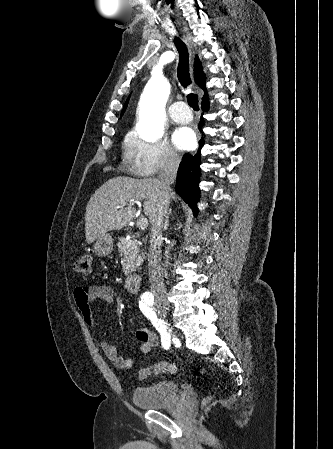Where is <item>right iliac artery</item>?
<instances>
[{"mask_svg":"<svg viewBox=\"0 0 333 449\" xmlns=\"http://www.w3.org/2000/svg\"><path fill=\"white\" fill-rule=\"evenodd\" d=\"M154 303V297L149 293H144L141 296V301L139 302V307L144 315L152 322L155 328L162 334V345L164 349H169L170 340L166 331L163 330V322L157 318L156 314L149 306H152Z\"/></svg>","mask_w":333,"mask_h":449,"instance_id":"1","label":"right iliac artery"}]
</instances>
